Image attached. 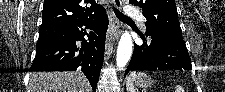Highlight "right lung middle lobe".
I'll list each match as a JSON object with an SVG mask.
<instances>
[{"label": "right lung middle lobe", "mask_w": 225, "mask_h": 92, "mask_svg": "<svg viewBox=\"0 0 225 92\" xmlns=\"http://www.w3.org/2000/svg\"><path fill=\"white\" fill-rule=\"evenodd\" d=\"M67 29L68 28H41L39 29L38 41L64 36Z\"/></svg>", "instance_id": "obj_1"}]
</instances>
